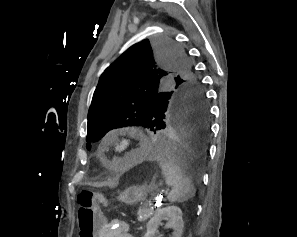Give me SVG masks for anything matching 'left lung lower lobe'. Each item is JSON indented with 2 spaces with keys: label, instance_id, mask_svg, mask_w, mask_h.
<instances>
[{
  "label": "left lung lower lobe",
  "instance_id": "1",
  "mask_svg": "<svg viewBox=\"0 0 297 237\" xmlns=\"http://www.w3.org/2000/svg\"><path fill=\"white\" fill-rule=\"evenodd\" d=\"M154 132L144 152L165 157L188 167L199 166L206 156L210 138V113L207 104L177 101Z\"/></svg>",
  "mask_w": 297,
  "mask_h": 237
}]
</instances>
